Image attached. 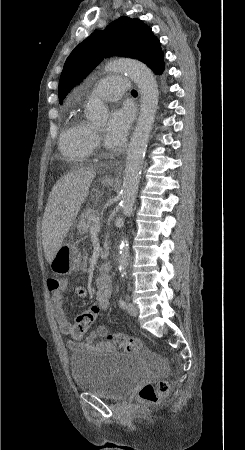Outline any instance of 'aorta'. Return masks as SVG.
Here are the masks:
<instances>
[{
  "label": "aorta",
  "instance_id": "1",
  "mask_svg": "<svg viewBox=\"0 0 245 450\" xmlns=\"http://www.w3.org/2000/svg\"><path fill=\"white\" fill-rule=\"evenodd\" d=\"M107 72H125L137 84L141 94L140 114L127 154L126 167L121 189V206L124 215L130 214L138 193L141 171L149 136L155 120L159 91L155 76L143 63L129 59H117L108 63ZM88 118L101 124L108 117V109L104 103L92 98L88 102ZM129 258V244L123 238L119 247L118 264L122 275L126 274Z\"/></svg>",
  "mask_w": 245,
  "mask_h": 450
}]
</instances>
